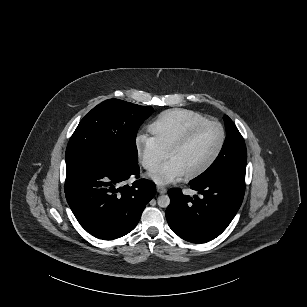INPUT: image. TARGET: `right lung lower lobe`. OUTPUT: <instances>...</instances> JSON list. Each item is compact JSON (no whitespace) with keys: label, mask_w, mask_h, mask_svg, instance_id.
Returning a JSON list of instances; mask_svg holds the SVG:
<instances>
[{"label":"right lung lower lobe","mask_w":307,"mask_h":307,"mask_svg":"<svg viewBox=\"0 0 307 307\" xmlns=\"http://www.w3.org/2000/svg\"><path fill=\"white\" fill-rule=\"evenodd\" d=\"M138 174L139 167L128 168L105 158H83L66 164V199L87 232L112 240L136 227L155 195V184L140 179L131 187L116 185Z\"/></svg>","instance_id":"obj_1"}]
</instances>
